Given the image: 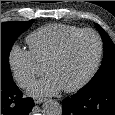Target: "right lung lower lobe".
Wrapping results in <instances>:
<instances>
[{
  "mask_svg": "<svg viewBox=\"0 0 115 115\" xmlns=\"http://www.w3.org/2000/svg\"><path fill=\"white\" fill-rule=\"evenodd\" d=\"M33 106V99L23 97L14 81H1V115H28Z\"/></svg>",
  "mask_w": 115,
  "mask_h": 115,
  "instance_id": "1",
  "label": "right lung lower lobe"
}]
</instances>
